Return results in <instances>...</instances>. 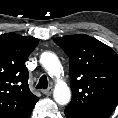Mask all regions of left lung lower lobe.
Listing matches in <instances>:
<instances>
[{"label":"left lung lower lobe","mask_w":118,"mask_h":118,"mask_svg":"<svg viewBox=\"0 0 118 118\" xmlns=\"http://www.w3.org/2000/svg\"><path fill=\"white\" fill-rule=\"evenodd\" d=\"M65 115L67 118H103V117H97V116L81 115V114H77L66 109H65Z\"/></svg>","instance_id":"0a47b994"}]
</instances>
